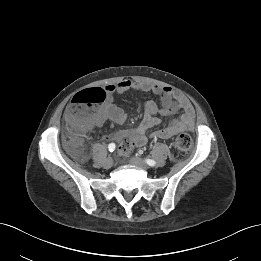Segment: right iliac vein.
I'll list each match as a JSON object with an SVG mask.
<instances>
[{
	"mask_svg": "<svg viewBox=\"0 0 261 261\" xmlns=\"http://www.w3.org/2000/svg\"><path fill=\"white\" fill-rule=\"evenodd\" d=\"M113 166V160L112 158H107L105 161H104V167L106 169H109Z\"/></svg>",
	"mask_w": 261,
	"mask_h": 261,
	"instance_id": "right-iliac-vein-1",
	"label": "right iliac vein"
}]
</instances>
